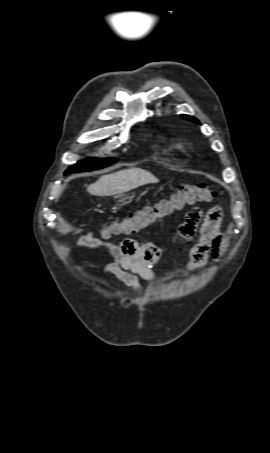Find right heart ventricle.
Segmentation results:
<instances>
[{
  "instance_id": "obj_1",
  "label": "right heart ventricle",
  "mask_w": 270,
  "mask_h": 453,
  "mask_svg": "<svg viewBox=\"0 0 270 453\" xmlns=\"http://www.w3.org/2000/svg\"><path fill=\"white\" fill-rule=\"evenodd\" d=\"M169 149L180 150V149H182V145L181 144H171L169 146Z\"/></svg>"
}]
</instances>
